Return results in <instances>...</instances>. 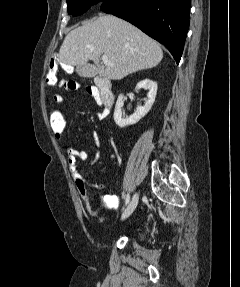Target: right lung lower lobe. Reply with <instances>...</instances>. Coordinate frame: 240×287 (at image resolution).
Masks as SVG:
<instances>
[{"label": "right lung lower lobe", "mask_w": 240, "mask_h": 287, "mask_svg": "<svg viewBox=\"0 0 240 287\" xmlns=\"http://www.w3.org/2000/svg\"><path fill=\"white\" fill-rule=\"evenodd\" d=\"M190 0H105L100 10L129 21L159 41L179 63L189 28Z\"/></svg>", "instance_id": "98d812e1"}]
</instances>
